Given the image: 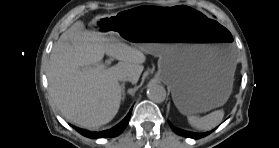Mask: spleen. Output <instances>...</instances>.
Listing matches in <instances>:
<instances>
[{
  "mask_svg": "<svg viewBox=\"0 0 279 148\" xmlns=\"http://www.w3.org/2000/svg\"><path fill=\"white\" fill-rule=\"evenodd\" d=\"M224 117V111L222 109L213 111L208 115L203 117L191 116L189 115V124L198 130H211L217 125H219Z\"/></svg>",
  "mask_w": 279,
  "mask_h": 148,
  "instance_id": "obj_1",
  "label": "spleen"
}]
</instances>
